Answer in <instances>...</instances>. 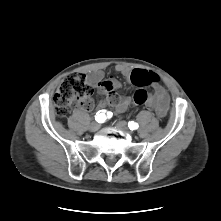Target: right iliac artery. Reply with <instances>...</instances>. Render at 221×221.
Masks as SVG:
<instances>
[{"label": "right iliac artery", "mask_w": 221, "mask_h": 221, "mask_svg": "<svg viewBox=\"0 0 221 221\" xmlns=\"http://www.w3.org/2000/svg\"><path fill=\"white\" fill-rule=\"evenodd\" d=\"M105 112L106 110H100L96 113L95 120L98 123H103L106 120Z\"/></svg>", "instance_id": "obj_1"}]
</instances>
